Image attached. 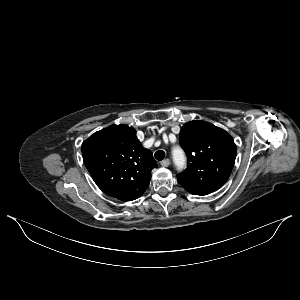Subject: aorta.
<instances>
[{
  "instance_id": "762f6f07",
  "label": "aorta",
  "mask_w": 300,
  "mask_h": 300,
  "mask_svg": "<svg viewBox=\"0 0 300 300\" xmlns=\"http://www.w3.org/2000/svg\"><path fill=\"white\" fill-rule=\"evenodd\" d=\"M173 158H174V161L177 163V164H184L185 162V156H184V153L183 151L180 149V148H176L174 149L173 151Z\"/></svg>"
}]
</instances>
